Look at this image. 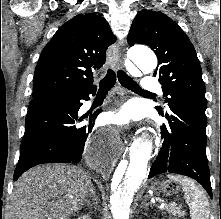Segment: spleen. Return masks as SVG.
<instances>
[{
  "label": "spleen",
  "instance_id": "3e777b00",
  "mask_svg": "<svg viewBox=\"0 0 221 219\" xmlns=\"http://www.w3.org/2000/svg\"><path fill=\"white\" fill-rule=\"evenodd\" d=\"M168 177L182 186L185 200L191 209V219H209V202L201 187L187 177L180 175H168Z\"/></svg>",
  "mask_w": 221,
  "mask_h": 219
}]
</instances>
